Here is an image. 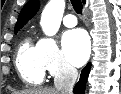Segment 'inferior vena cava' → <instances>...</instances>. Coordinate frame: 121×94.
Instances as JSON below:
<instances>
[{"instance_id":"602c4592","label":"inferior vena cava","mask_w":121,"mask_h":94,"mask_svg":"<svg viewBox=\"0 0 121 94\" xmlns=\"http://www.w3.org/2000/svg\"><path fill=\"white\" fill-rule=\"evenodd\" d=\"M78 77L76 68L66 65L59 69L54 85L59 94H73V87Z\"/></svg>"}]
</instances>
